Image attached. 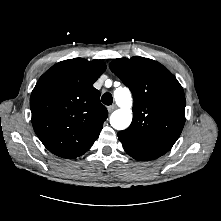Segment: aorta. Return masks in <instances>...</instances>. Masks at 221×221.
Listing matches in <instances>:
<instances>
[{"label":"aorta","mask_w":221,"mask_h":221,"mask_svg":"<svg viewBox=\"0 0 221 221\" xmlns=\"http://www.w3.org/2000/svg\"><path fill=\"white\" fill-rule=\"evenodd\" d=\"M114 98L120 108L111 114L110 124L116 130H124L132 121V96L128 88L120 87L114 91Z\"/></svg>","instance_id":"aorta-1"}]
</instances>
